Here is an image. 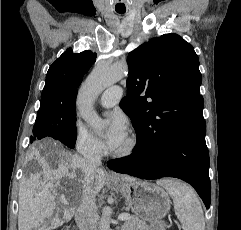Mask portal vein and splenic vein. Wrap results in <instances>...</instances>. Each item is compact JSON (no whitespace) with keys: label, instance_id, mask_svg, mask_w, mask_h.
<instances>
[{"label":"portal vein and splenic vein","instance_id":"portal-vein-and-splenic-vein-1","mask_svg":"<svg viewBox=\"0 0 241 230\" xmlns=\"http://www.w3.org/2000/svg\"><path fill=\"white\" fill-rule=\"evenodd\" d=\"M131 218V215L128 213H122L118 216V219L121 221H125Z\"/></svg>","mask_w":241,"mask_h":230}]
</instances>
